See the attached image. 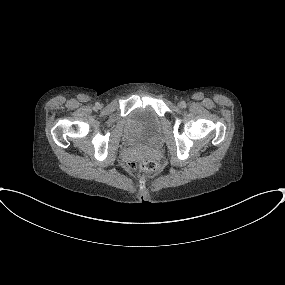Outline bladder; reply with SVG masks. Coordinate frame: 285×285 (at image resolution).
<instances>
[{
  "instance_id": "1",
  "label": "bladder",
  "mask_w": 285,
  "mask_h": 285,
  "mask_svg": "<svg viewBox=\"0 0 285 285\" xmlns=\"http://www.w3.org/2000/svg\"><path fill=\"white\" fill-rule=\"evenodd\" d=\"M127 126L128 141L134 142L148 135L156 134L160 127V118L153 106L141 105L132 110Z\"/></svg>"
}]
</instances>
